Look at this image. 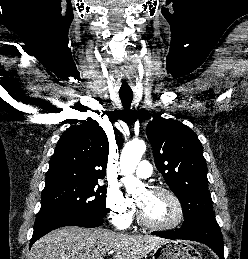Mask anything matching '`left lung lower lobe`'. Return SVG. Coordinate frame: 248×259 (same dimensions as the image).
I'll return each mask as SVG.
<instances>
[{"label":"left lung lower lobe","mask_w":248,"mask_h":259,"mask_svg":"<svg viewBox=\"0 0 248 259\" xmlns=\"http://www.w3.org/2000/svg\"><path fill=\"white\" fill-rule=\"evenodd\" d=\"M152 234L166 239H184L201 242L209 246L220 259H224L223 238L216 220L199 222L177 230L153 232Z\"/></svg>","instance_id":"obj_1"}]
</instances>
